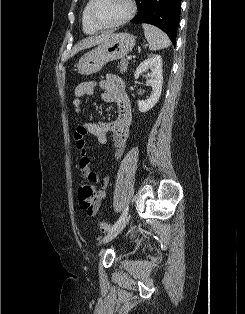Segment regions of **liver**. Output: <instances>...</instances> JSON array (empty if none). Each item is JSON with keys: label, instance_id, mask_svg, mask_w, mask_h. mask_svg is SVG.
I'll return each mask as SVG.
<instances>
[{"label": "liver", "instance_id": "6515ba94", "mask_svg": "<svg viewBox=\"0 0 245 314\" xmlns=\"http://www.w3.org/2000/svg\"><path fill=\"white\" fill-rule=\"evenodd\" d=\"M111 34H112V32H105V33H102L101 35H98L95 37H89V38L83 40L82 42H79L78 44H76L73 47L72 55H75L79 51H82V50L87 49V48H91V47L101 43L103 40L108 38Z\"/></svg>", "mask_w": 245, "mask_h": 314}]
</instances>
